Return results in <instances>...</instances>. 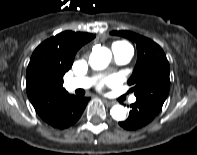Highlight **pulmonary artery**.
Wrapping results in <instances>:
<instances>
[{
    "label": "pulmonary artery",
    "instance_id": "e3ab8cb5",
    "mask_svg": "<svg viewBox=\"0 0 197 155\" xmlns=\"http://www.w3.org/2000/svg\"><path fill=\"white\" fill-rule=\"evenodd\" d=\"M112 52L116 63L123 65L128 63L133 57V49L126 45H113ZM93 79L89 77H77L67 82V88L69 90H75L79 88H89L92 85ZM136 97H131L130 102L134 103Z\"/></svg>",
    "mask_w": 197,
    "mask_h": 155
}]
</instances>
